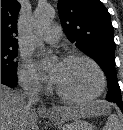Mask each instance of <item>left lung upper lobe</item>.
I'll use <instances>...</instances> for the list:
<instances>
[{
  "label": "left lung upper lobe",
  "mask_w": 123,
  "mask_h": 130,
  "mask_svg": "<svg viewBox=\"0 0 123 130\" xmlns=\"http://www.w3.org/2000/svg\"><path fill=\"white\" fill-rule=\"evenodd\" d=\"M58 11L68 39L104 71L108 82L107 100L123 108L116 80L114 29L107 8L100 0H59Z\"/></svg>",
  "instance_id": "1"
}]
</instances>
